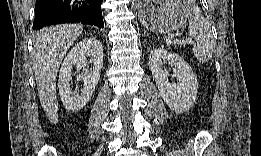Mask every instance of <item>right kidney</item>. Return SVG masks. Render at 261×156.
Returning a JSON list of instances; mask_svg holds the SVG:
<instances>
[{
    "label": "right kidney",
    "mask_w": 261,
    "mask_h": 156,
    "mask_svg": "<svg viewBox=\"0 0 261 156\" xmlns=\"http://www.w3.org/2000/svg\"><path fill=\"white\" fill-rule=\"evenodd\" d=\"M91 56L93 70L83 77L84 88L80 94L71 92V71L73 66L79 71L86 65V56ZM103 65V47L95 38H85L77 43L65 57L60 68L58 87L61 100L68 110H81L91 99L95 87L100 79Z\"/></svg>",
    "instance_id": "1"
}]
</instances>
